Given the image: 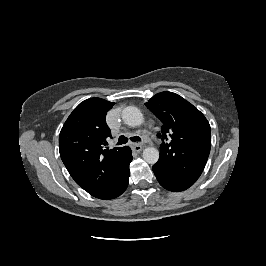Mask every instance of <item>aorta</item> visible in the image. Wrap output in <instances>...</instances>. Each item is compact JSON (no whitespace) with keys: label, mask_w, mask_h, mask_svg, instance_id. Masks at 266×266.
Wrapping results in <instances>:
<instances>
[{"label":"aorta","mask_w":266,"mask_h":266,"mask_svg":"<svg viewBox=\"0 0 266 266\" xmlns=\"http://www.w3.org/2000/svg\"><path fill=\"white\" fill-rule=\"evenodd\" d=\"M123 121L132 127L143 123V114L134 106H127L122 111ZM143 159L149 164H155L159 159V151L154 147H147L143 150Z\"/></svg>","instance_id":"762f6f07"}]
</instances>
